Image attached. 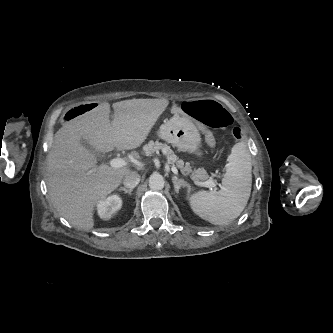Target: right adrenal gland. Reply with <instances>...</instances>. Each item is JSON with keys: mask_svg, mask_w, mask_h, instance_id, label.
Instances as JSON below:
<instances>
[{"mask_svg": "<svg viewBox=\"0 0 333 333\" xmlns=\"http://www.w3.org/2000/svg\"><path fill=\"white\" fill-rule=\"evenodd\" d=\"M119 190L123 191L125 194H129V195H131L132 191H133L132 189H127L125 187H121Z\"/></svg>", "mask_w": 333, "mask_h": 333, "instance_id": "right-adrenal-gland-1", "label": "right adrenal gland"}]
</instances>
